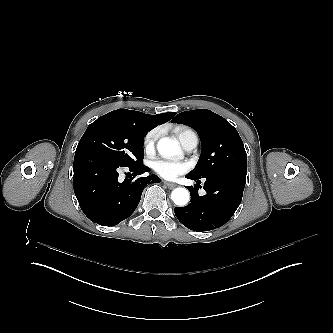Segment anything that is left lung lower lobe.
Returning a JSON list of instances; mask_svg holds the SVG:
<instances>
[{"label":"left lung lower lobe","mask_w":333,"mask_h":333,"mask_svg":"<svg viewBox=\"0 0 333 333\" xmlns=\"http://www.w3.org/2000/svg\"><path fill=\"white\" fill-rule=\"evenodd\" d=\"M245 172L225 171L215 174L205 181L206 195L199 196V179L186 175L196 181V185L186 187L191 193L190 204L175 207L177 219L194 231H208L225 224L241 203L246 182Z\"/></svg>","instance_id":"left-lung-lower-lobe-1"}]
</instances>
